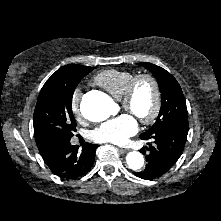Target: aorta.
<instances>
[{"label": "aorta", "instance_id": "762f6f07", "mask_svg": "<svg viewBox=\"0 0 221 221\" xmlns=\"http://www.w3.org/2000/svg\"><path fill=\"white\" fill-rule=\"evenodd\" d=\"M114 101L104 93H93L86 95L81 102L82 115L93 122L106 120L115 112ZM126 163L132 170H138L144 165V157L138 151L129 152L126 156Z\"/></svg>", "mask_w": 221, "mask_h": 221}]
</instances>
